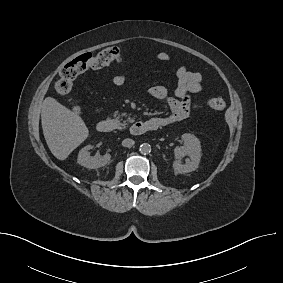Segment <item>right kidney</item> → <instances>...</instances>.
<instances>
[{"instance_id": "obj_1", "label": "right kidney", "mask_w": 283, "mask_h": 283, "mask_svg": "<svg viewBox=\"0 0 283 283\" xmlns=\"http://www.w3.org/2000/svg\"><path fill=\"white\" fill-rule=\"evenodd\" d=\"M90 146H85L81 149V151L78 154L77 162L81 166H84L88 169H97L102 166H105L111 159L110 154H105L103 156L95 155L90 156L89 153Z\"/></svg>"}]
</instances>
